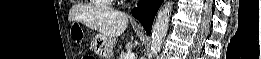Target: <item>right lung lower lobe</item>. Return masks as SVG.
Returning <instances> with one entry per match:
<instances>
[{"label":"right lung lower lobe","instance_id":"right-lung-lower-lobe-1","mask_svg":"<svg viewBox=\"0 0 261 59\" xmlns=\"http://www.w3.org/2000/svg\"><path fill=\"white\" fill-rule=\"evenodd\" d=\"M163 0H141L138 8L132 10V14L144 26L147 34L150 35V27L153 23L154 16L158 11Z\"/></svg>","mask_w":261,"mask_h":59}]
</instances>
